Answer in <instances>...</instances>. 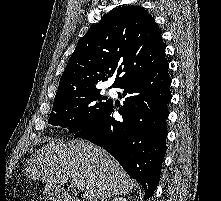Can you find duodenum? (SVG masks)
Segmentation results:
<instances>
[{"instance_id": "410a0bca", "label": "duodenum", "mask_w": 221, "mask_h": 201, "mask_svg": "<svg viewBox=\"0 0 221 201\" xmlns=\"http://www.w3.org/2000/svg\"><path fill=\"white\" fill-rule=\"evenodd\" d=\"M58 201H77L70 196H63L61 194H57Z\"/></svg>"}]
</instances>
